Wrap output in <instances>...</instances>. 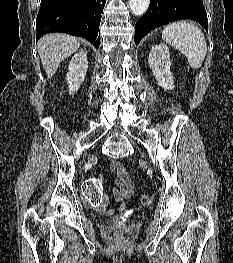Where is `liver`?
Here are the masks:
<instances>
[{
  "instance_id": "obj_1",
  "label": "liver",
  "mask_w": 233,
  "mask_h": 263,
  "mask_svg": "<svg viewBox=\"0 0 233 263\" xmlns=\"http://www.w3.org/2000/svg\"><path fill=\"white\" fill-rule=\"evenodd\" d=\"M79 47V40L67 34L53 33L41 37L37 50L48 78H52L60 63Z\"/></svg>"
}]
</instances>
